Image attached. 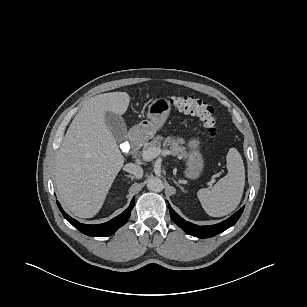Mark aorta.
Here are the masks:
<instances>
[{"mask_svg":"<svg viewBox=\"0 0 307 307\" xmlns=\"http://www.w3.org/2000/svg\"><path fill=\"white\" fill-rule=\"evenodd\" d=\"M147 188L153 192H161L164 189V184L160 178L151 177L147 181Z\"/></svg>","mask_w":307,"mask_h":307,"instance_id":"aorta-1","label":"aorta"}]
</instances>
